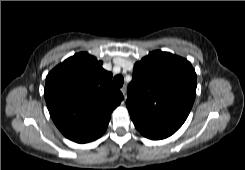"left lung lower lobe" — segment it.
Here are the masks:
<instances>
[{
	"label": "left lung lower lobe",
	"instance_id": "obj_1",
	"mask_svg": "<svg viewBox=\"0 0 245 170\" xmlns=\"http://www.w3.org/2000/svg\"><path fill=\"white\" fill-rule=\"evenodd\" d=\"M136 129L145 137L149 139L159 140L164 139L169 136H171L173 133H175L174 130L155 126L148 124L146 122H143L142 120L138 118L131 117Z\"/></svg>",
	"mask_w": 245,
	"mask_h": 170
}]
</instances>
